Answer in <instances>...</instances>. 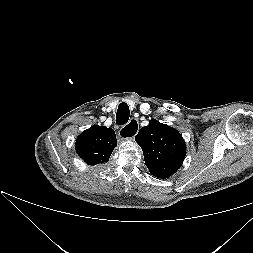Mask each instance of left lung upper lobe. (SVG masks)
<instances>
[{
    "label": "left lung upper lobe",
    "mask_w": 253,
    "mask_h": 253,
    "mask_svg": "<svg viewBox=\"0 0 253 253\" xmlns=\"http://www.w3.org/2000/svg\"><path fill=\"white\" fill-rule=\"evenodd\" d=\"M135 140L143 150L145 164L152 175L168 178L182 165L186 147L176 129L153 119L141 128Z\"/></svg>",
    "instance_id": "5c2ea615"
}]
</instances>
